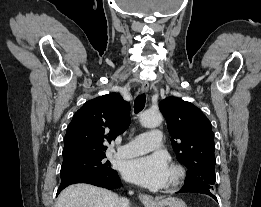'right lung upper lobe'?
<instances>
[{"instance_id": "1", "label": "right lung upper lobe", "mask_w": 261, "mask_h": 207, "mask_svg": "<svg viewBox=\"0 0 261 207\" xmlns=\"http://www.w3.org/2000/svg\"><path fill=\"white\" fill-rule=\"evenodd\" d=\"M130 125V105L110 93L87 101L73 116L64 139L63 161L105 154L111 142Z\"/></svg>"}]
</instances>
